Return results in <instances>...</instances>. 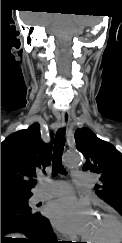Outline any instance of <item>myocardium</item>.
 <instances>
[{
	"label": "myocardium",
	"mask_w": 122,
	"mask_h": 243,
	"mask_svg": "<svg viewBox=\"0 0 122 243\" xmlns=\"http://www.w3.org/2000/svg\"><path fill=\"white\" fill-rule=\"evenodd\" d=\"M100 216L109 219L113 224L114 233L111 238L107 241H93L91 243H120L122 241V221L113 213L101 212Z\"/></svg>",
	"instance_id": "obj_1"
}]
</instances>
